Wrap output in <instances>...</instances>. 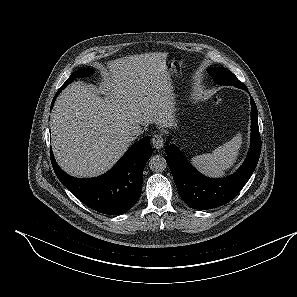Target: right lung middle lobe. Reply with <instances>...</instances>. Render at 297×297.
Wrapping results in <instances>:
<instances>
[{
  "label": "right lung middle lobe",
  "instance_id": "right-lung-middle-lobe-1",
  "mask_svg": "<svg viewBox=\"0 0 297 297\" xmlns=\"http://www.w3.org/2000/svg\"><path fill=\"white\" fill-rule=\"evenodd\" d=\"M94 72H95L94 69H90V68L80 69V70L72 73V75L69 77V79L62 86L66 87L68 84H70L77 78L92 76Z\"/></svg>",
  "mask_w": 297,
  "mask_h": 297
}]
</instances>
